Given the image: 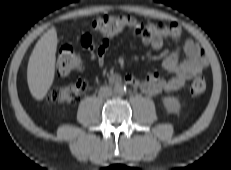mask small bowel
<instances>
[{
    "label": "small bowel",
    "instance_id": "small-bowel-1",
    "mask_svg": "<svg viewBox=\"0 0 231 170\" xmlns=\"http://www.w3.org/2000/svg\"><path fill=\"white\" fill-rule=\"evenodd\" d=\"M137 34L145 44L154 49H160L166 39L179 40L182 36V29L177 23H171L170 25L151 23L143 25V30ZM111 37L106 35L96 37L86 33L81 38V45L89 51L97 50L98 60L102 62ZM181 54L185 56L182 60L180 59ZM162 65L170 74L169 78L151 72L144 78L128 75L125 80L129 84L138 86L148 95L173 92L180 89L187 80L201 74L207 65V61L198 44L189 39L184 42L181 50L174 51L165 57Z\"/></svg>",
    "mask_w": 231,
    "mask_h": 170
}]
</instances>
